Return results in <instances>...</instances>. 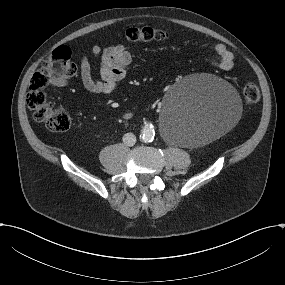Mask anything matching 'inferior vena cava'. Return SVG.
Listing matches in <instances>:
<instances>
[{
	"label": "inferior vena cava",
	"mask_w": 285,
	"mask_h": 285,
	"mask_svg": "<svg viewBox=\"0 0 285 285\" xmlns=\"http://www.w3.org/2000/svg\"><path fill=\"white\" fill-rule=\"evenodd\" d=\"M123 141L127 146H133L136 143V136L133 133H126L123 136Z\"/></svg>",
	"instance_id": "1"
}]
</instances>
